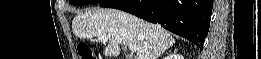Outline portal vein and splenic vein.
<instances>
[{
	"label": "portal vein and splenic vein",
	"mask_w": 261,
	"mask_h": 59,
	"mask_svg": "<svg viewBox=\"0 0 261 59\" xmlns=\"http://www.w3.org/2000/svg\"><path fill=\"white\" fill-rule=\"evenodd\" d=\"M98 39L100 41H103V42H106L108 40L107 37L105 36H98ZM129 50L132 51V52H136L137 51V47L136 46H128Z\"/></svg>",
	"instance_id": "1"
}]
</instances>
